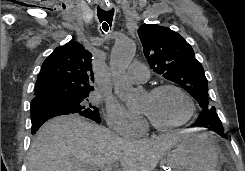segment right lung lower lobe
I'll return each instance as SVG.
<instances>
[{"label": "right lung lower lobe", "instance_id": "obj_1", "mask_svg": "<svg viewBox=\"0 0 245 171\" xmlns=\"http://www.w3.org/2000/svg\"><path fill=\"white\" fill-rule=\"evenodd\" d=\"M71 114L63 105L57 102L47 100H37L31 102V133L35 134L41 125L48 119Z\"/></svg>", "mask_w": 245, "mask_h": 171}]
</instances>
